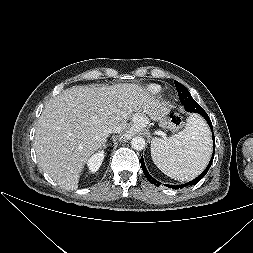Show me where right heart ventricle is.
Here are the masks:
<instances>
[{"mask_svg":"<svg viewBox=\"0 0 253 253\" xmlns=\"http://www.w3.org/2000/svg\"><path fill=\"white\" fill-rule=\"evenodd\" d=\"M148 90L152 94H158V93L161 92V88L159 86H157V85H151V86H149Z\"/></svg>","mask_w":253,"mask_h":253,"instance_id":"e07e8e85","label":"right heart ventricle"}]
</instances>
